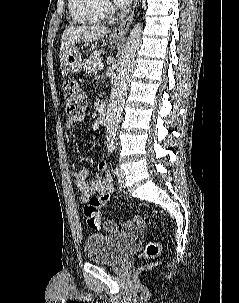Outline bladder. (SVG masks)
<instances>
[{
    "instance_id": "31cf9c89",
    "label": "bladder",
    "mask_w": 239,
    "mask_h": 303,
    "mask_svg": "<svg viewBox=\"0 0 239 303\" xmlns=\"http://www.w3.org/2000/svg\"><path fill=\"white\" fill-rule=\"evenodd\" d=\"M137 239L135 233L90 234L85 239L89 261L102 265H116Z\"/></svg>"
}]
</instances>
